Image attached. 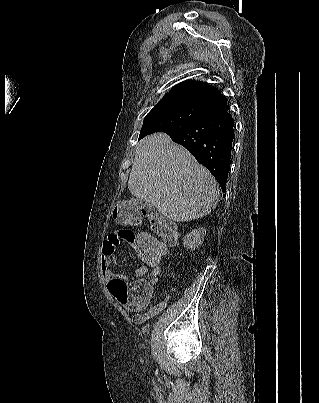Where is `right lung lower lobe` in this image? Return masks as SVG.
Here are the masks:
<instances>
[{"mask_svg": "<svg viewBox=\"0 0 319 403\" xmlns=\"http://www.w3.org/2000/svg\"><path fill=\"white\" fill-rule=\"evenodd\" d=\"M233 128L234 119L226 110L158 132L168 134L174 142L188 149L200 164L207 167L225 192L231 163Z\"/></svg>", "mask_w": 319, "mask_h": 403, "instance_id": "1", "label": "right lung lower lobe"}]
</instances>
